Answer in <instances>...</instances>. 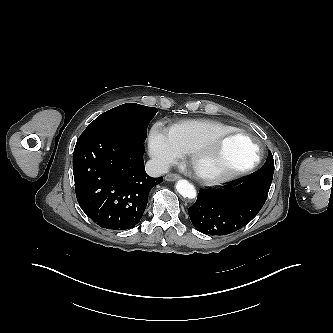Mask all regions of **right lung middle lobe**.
<instances>
[{
	"label": "right lung middle lobe",
	"instance_id": "obj_1",
	"mask_svg": "<svg viewBox=\"0 0 333 333\" xmlns=\"http://www.w3.org/2000/svg\"><path fill=\"white\" fill-rule=\"evenodd\" d=\"M156 112L155 107L126 103L101 114L82 134L114 133L145 141L148 123Z\"/></svg>",
	"mask_w": 333,
	"mask_h": 333
}]
</instances>
